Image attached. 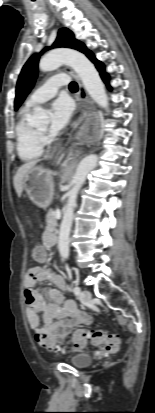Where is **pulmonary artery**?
<instances>
[{
    "label": "pulmonary artery",
    "instance_id": "1",
    "mask_svg": "<svg viewBox=\"0 0 155 413\" xmlns=\"http://www.w3.org/2000/svg\"><path fill=\"white\" fill-rule=\"evenodd\" d=\"M69 80L70 77L67 74H58L46 79L44 84L30 95L26 102V106L33 107L53 98L57 94L59 88L66 85Z\"/></svg>",
    "mask_w": 155,
    "mask_h": 413
}]
</instances>
